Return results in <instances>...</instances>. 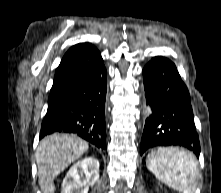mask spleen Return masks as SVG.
<instances>
[{"instance_id": "1", "label": "spleen", "mask_w": 221, "mask_h": 193, "mask_svg": "<svg viewBox=\"0 0 221 193\" xmlns=\"http://www.w3.org/2000/svg\"><path fill=\"white\" fill-rule=\"evenodd\" d=\"M147 168L161 182L182 193H194L197 176L195 157L188 151L157 146L146 159Z\"/></svg>"}]
</instances>
